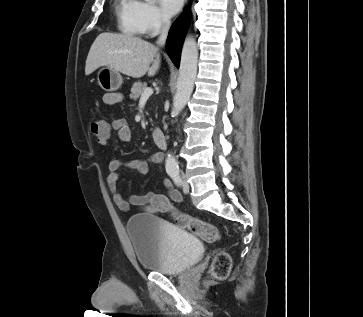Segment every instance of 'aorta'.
<instances>
[{
  "label": "aorta",
  "mask_w": 363,
  "mask_h": 317,
  "mask_svg": "<svg viewBox=\"0 0 363 317\" xmlns=\"http://www.w3.org/2000/svg\"><path fill=\"white\" fill-rule=\"evenodd\" d=\"M150 1V0H146ZM198 49L195 39L189 36L185 39L177 79L176 93L173 98L172 114L178 115L186 106L193 92L194 82L197 75ZM178 165L175 157L168 154L166 159V170H177Z\"/></svg>",
  "instance_id": "obj_1"
}]
</instances>
